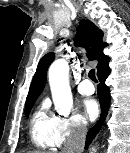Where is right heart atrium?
Wrapping results in <instances>:
<instances>
[{"label":"right heart atrium","instance_id":"obj_1","mask_svg":"<svg viewBox=\"0 0 130 153\" xmlns=\"http://www.w3.org/2000/svg\"><path fill=\"white\" fill-rule=\"evenodd\" d=\"M86 121L78 114L60 117L57 131V143L61 146L68 140L83 136L86 132Z\"/></svg>","mask_w":130,"mask_h":153}]
</instances>
